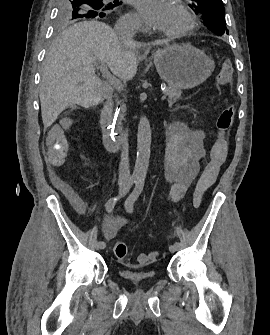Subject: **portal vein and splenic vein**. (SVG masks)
<instances>
[{"label":"portal vein and splenic vein","instance_id":"obj_1","mask_svg":"<svg viewBox=\"0 0 270 335\" xmlns=\"http://www.w3.org/2000/svg\"><path fill=\"white\" fill-rule=\"evenodd\" d=\"M93 65L95 67H98V69L101 71L100 75L102 76V79L105 80V83L107 85H110L112 88H115L116 90L120 89V83L116 78H113L112 75H110V72L107 69L106 62L104 60H95L93 62ZM121 91H124V88H121ZM165 92V90H163ZM166 100V95H163V98H161V101Z\"/></svg>","mask_w":270,"mask_h":335}]
</instances>
